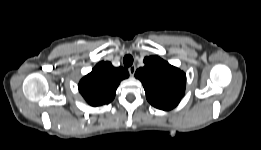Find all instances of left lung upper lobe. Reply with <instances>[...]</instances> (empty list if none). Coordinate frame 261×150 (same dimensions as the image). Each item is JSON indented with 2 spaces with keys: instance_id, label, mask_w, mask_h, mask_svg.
Segmentation results:
<instances>
[{
  "instance_id": "5c2ea615",
  "label": "left lung upper lobe",
  "mask_w": 261,
  "mask_h": 150,
  "mask_svg": "<svg viewBox=\"0 0 261 150\" xmlns=\"http://www.w3.org/2000/svg\"><path fill=\"white\" fill-rule=\"evenodd\" d=\"M144 63L135 77L142 82L147 100L158 109H173L184 95L185 73L157 56L144 58Z\"/></svg>"
}]
</instances>
